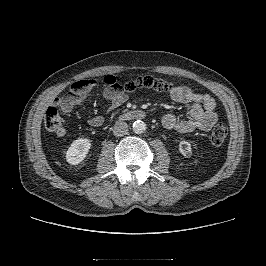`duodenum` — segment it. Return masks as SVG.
<instances>
[{"label":"duodenum","instance_id":"obj_1","mask_svg":"<svg viewBox=\"0 0 266 266\" xmlns=\"http://www.w3.org/2000/svg\"><path fill=\"white\" fill-rule=\"evenodd\" d=\"M120 117L125 120H140L146 117V113L143 110H131L122 113Z\"/></svg>","mask_w":266,"mask_h":266}]
</instances>
